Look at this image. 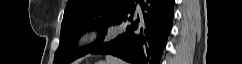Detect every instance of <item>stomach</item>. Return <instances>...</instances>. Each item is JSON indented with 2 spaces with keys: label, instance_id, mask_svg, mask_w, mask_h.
<instances>
[{
  "label": "stomach",
  "instance_id": "0dacf381",
  "mask_svg": "<svg viewBox=\"0 0 242 64\" xmlns=\"http://www.w3.org/2000/svg\"><path fill=\"white\" fill-rule=\"evenodd\" d=\"M97 64H105V62H102V61H101V62H98Z\"/></svg>",
  "mask_w": 242,
  "mask_h": 64
}]
</instances>
